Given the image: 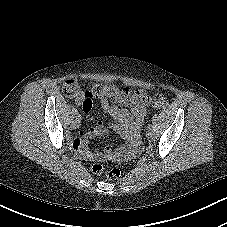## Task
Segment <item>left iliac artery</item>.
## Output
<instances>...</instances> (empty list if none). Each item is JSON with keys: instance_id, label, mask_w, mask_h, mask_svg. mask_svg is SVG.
<instances>
[{"instance_id": "44dca946", "label": "left iliac artery", "mask_w": 227, "mask_h": 227, "mask_svg": "<svg viewBox=\"0 0 227 227\" xmlns=\"http://www.w3.org/2000/svg\"><path fill=\"white\" fill-rule=\"evenodd\" d=\"M147 130H148V131H151V130H152V125H151V124H148Z\"/></svg>"}]
</instances>
